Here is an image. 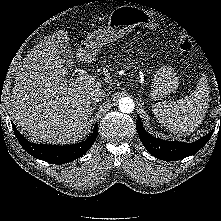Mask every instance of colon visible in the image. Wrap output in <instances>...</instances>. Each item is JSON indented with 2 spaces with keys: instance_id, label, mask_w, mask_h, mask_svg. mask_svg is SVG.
<instances>
[{
  "instance_id": "obj_1",
  "label": "colon",
  "mask_w": 221,
  "mask_h": 221,
  "mask_svg": "<svg viewBox=\"0 0 221 221\" xmlns=\"http://www.w3.org/2000/svg\"><path fill=\"white\" fill-rule=\"evenodd\" d=\"M193 46L194 44L192 40L186 34L181 33L179 48L185 57H188L191 54Z\"/></svg>"
}]
</instances>
